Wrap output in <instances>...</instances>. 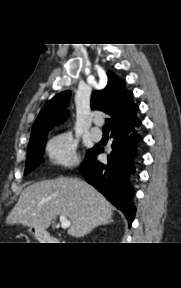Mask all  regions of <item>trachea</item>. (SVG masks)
<instances>
[{
    "mask_svg": "<svg viewBox=\"0 0 181 288\" xmlns=\"http://www.w3.org/2000/svg\"><path fill=\"white\" fill-rule=\"evenodd\" d=\"M103 132H109V125L103 126Z\"/></svg>",
    "mask_w": 181,
    "mask_h": 288,
    "instance_id": "trachea-1",
    "label": "trachea"
}]
</instances>
